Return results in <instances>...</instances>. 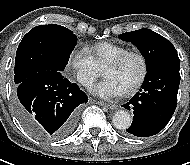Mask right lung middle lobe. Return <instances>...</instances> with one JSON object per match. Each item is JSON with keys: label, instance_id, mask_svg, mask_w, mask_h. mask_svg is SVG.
<instances>
[{"label": "right lung middle lobe", "instance_id": "dd1d6c3e", "mask_svg": "<svg viewBox=\"0 0 190 165\" xmlns=\"http://www.w3.org/2000/svg\"><path fill=\"white\" fill-rule=\"evenodd\" d=\"M76 42V35L57 24L31 29L23 37L16 52L15 84L42 71H63Z\"/></svg>", "mask_w": 190, "mask_h": 165}]
</instances>
